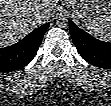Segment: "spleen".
<instances>
[{
    "label": "spleen",
    "instance_id": "spleen-1",
    "mask_svg": "<svg viewBox=\"0 0 111 106\" xmlns=\"http://www.w3.org/2000/svg\"><path fill=\"white\" fill-rule=\"evenodd\" d=\"M85 25L94 37L103 41H111V15L101 20L93 19Z\"/></svg>",
    "mask_w": 111,
    "mask_h": 106
}]
</instances>
